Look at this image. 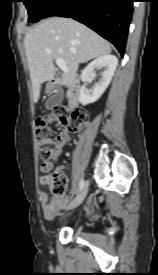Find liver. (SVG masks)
Wrapping results in <instances>:
<instances>
[{
    "label": "liver",
    "instance_id": "liver-1",
    "mask_svg": "<svg viewBox=\"0 0 158 275\" xmlns=\"http://www.w3.org/2000/svg\"><path fill=\"white\" fill-rule=\"evenodd\" d=\"M32 81L33 101L40 97L41 84L54 77V60L65 61L62 82L72 86L79 64L111 53L109 43L97 33L71 18L51 17L35 25L24 38Z\"/></svg>",
    "mask_w": 158,
    "mask_h": 275
}]
</instances>
